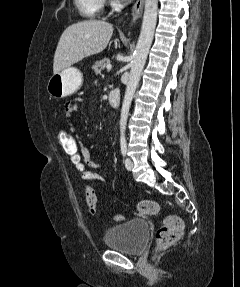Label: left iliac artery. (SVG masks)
<instances>
[{
  "mask_svg": "<svg viewBox=\"0 0 240 287\" xmlns=\"http://www.w3.org/2000/svg\"><path fill=\"white\" fill-rule=\"evenodd\" d=\"M121 145V153L123 156H126V152H127V144H126V140H121L120 142Z\"/></svg>",
  "mask_w": 240,
  "mask_h": 287,
  "instance_id": "obj_1",
  "label": "left iliac artery"
}]
</instances>
